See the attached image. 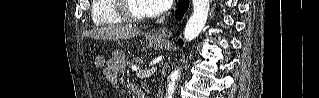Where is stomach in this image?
I'll use <instances>...</instances> for the list:
<instances>
[{
  "instance_id": "stomach-1",
  "label": "stomach",
  "mask_w": 319,
  "mask_h": 98,
  "mask_svg": "<svg viewBox=\"0 0 319 98\" xmlns=\"http://www.w3.org/2000/svg\"><path fill=\"white\" fill-rule=\"evenodd\" d=\"M166 45L167 42L164 38L153 35L148 37V46L155 50L163 49ZM124 62V56L121 55V63L124 64ZM104 75L110 83H116L118 79V66L115 65L112 68L106 69Z\"/></svg>"
}]
</instances>
